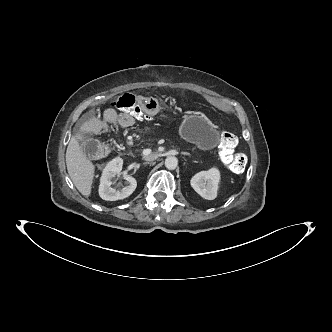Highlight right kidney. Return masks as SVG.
<instances>
[{
  "mask_svg": "<svg viewBox=\"0 0 332 332\" xmlns=\"http://www.w3.org/2000/svg\"><path fill=\"white\" fill-rule=\"evenodd\" d=\"M123 160L122 158H114L109 161L105 166L102 176L100 178L99 195L103 200L116 201L127 198L130 196L137 187V181L134 177L124 174L123 178L129 182L128 186H125L120 191L111 187L112 181L116 175L122 171Z\"/></svg>",
  "mask_w": 332,
  "mask_h": 332,
  "instance_id": "right-kidney-1",
  "label": "right kidney"
}]
</instances>
